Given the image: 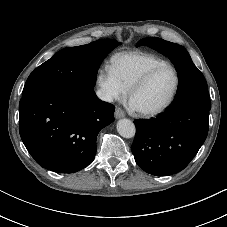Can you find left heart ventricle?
<instances>
[{
  "label": "left heart ventricle",
  "mask_w": 227,
  "mask_h": 227,
  "mask_svg": "<svg viewBox=\"0 0 227 227\" xmlns=\"http://www.w3.org/2000/svg\"><path fill=\"white\" fill-rule=\"evenodd\" d=\"M175 86V74L165 68L156 73L151 80L132 98V105L140 110L160 107L171 95Z\"/></svg>",
  "instance_id": "obj_1"
}]
</instances>
